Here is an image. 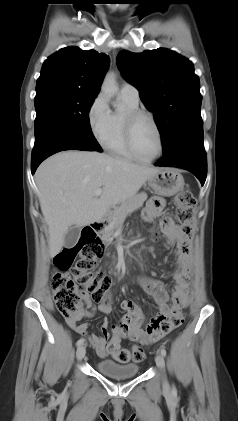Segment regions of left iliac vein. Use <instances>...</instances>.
Wrapping results in <instances>:
<instances>
[{
  "mask_svg": "<svg viewBox=\"0 0 238 421\" xmlns=\"http://www.w3.org/2000/svg\"><path fill=\"white\" fill-rule=\"evenodd\" d=\"M155 362H156V365L162 370V371H164V368H165V361H164V358H163V356L161 355V354H158L157 356H156V358H155ZM165 383H166V380L164 381Z\"/></svg>",
  "mask_w": 238,
  "mask_h": 421,
  "instance_id": "1",
  "label": "left iliac vein"
}]
</instances>
